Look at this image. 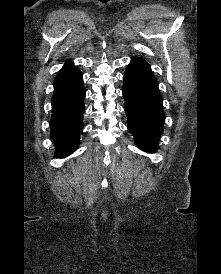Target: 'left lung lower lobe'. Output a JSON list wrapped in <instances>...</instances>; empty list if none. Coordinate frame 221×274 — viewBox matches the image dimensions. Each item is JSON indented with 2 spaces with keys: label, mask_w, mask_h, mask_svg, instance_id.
Returning <instances> with one entry per match:
<instances>
[{
  "label": "left lung lower lobe",
  "mask_w": 221,
  "mask_h": 274,
  "mask_svg": "<svg viewBox=\"0 0 221 274\" xmlns=\"http://www.w3.org/2000/svg\"><path fill=\"white\" fill-rule=\"evenodd\" d=\"M123 97L128 129L136 145L154 152L163 132L165 114L157 80L145 60L135 57L127 66Z\"/></svg>",
  "instance_id": "1"
}]
</instances>
